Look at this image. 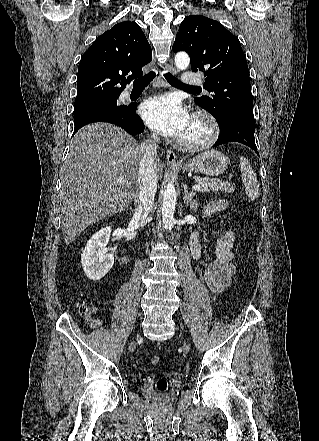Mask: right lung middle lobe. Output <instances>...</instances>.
<instances>
[{
	"mask_svg": "<svg viewBox=\"0 0 319 441\" xmlns=\"http://www.w3.org/2000/svg\"><path fill=\"white\" fill-rule=\"evenodd\" d=\"M119 96H113L102 99H94V100H86V101H75L74 104V113L80 112L82 110H86L92 107H102V106H112L118 107L117 99ZM124 107V106H121Z\"/></svg>",
	"mask_w": 319,
	"mask_h": 441,
	"instance_id": "obj_1",
	"label": "right lung middle lobe"
}]
</instances>
